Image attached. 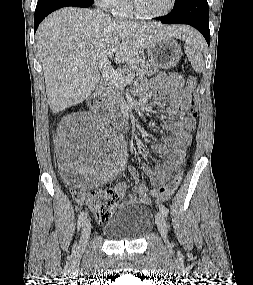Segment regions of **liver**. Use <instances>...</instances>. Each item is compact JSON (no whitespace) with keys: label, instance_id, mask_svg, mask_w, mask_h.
Wrapping results in <instances>:
<instances>
[{"label":"liver","instance_id":"1","mask_svg":"<svg viewBox=\"0 0 253 285\" xmlns=\"http://www.w3.org/2000/svg\"><path fill=\"white\" fill-rule=\"evenodd\" d=\"M185 26L112 19L101 10L66 7L53 12L36 33L48 104L53 113L87 99L100 80L96 55L134 61L162 37L184 39Z\"/></svg>","mask_w":253,"mask_h":285}]
</instances>
